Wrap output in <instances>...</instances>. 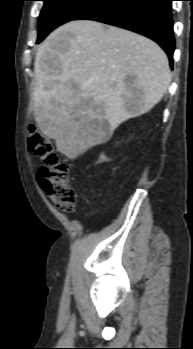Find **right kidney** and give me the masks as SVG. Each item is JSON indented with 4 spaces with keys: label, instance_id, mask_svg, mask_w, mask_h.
I'll return each instance as SVG.
<instances>
[{
    "label": "right kidney",
    "instance_id": "ca27d5eb",
    "mask_svg": "<svg viewBox=\"0 0 193 349\" xmlns=\"http://www.w3.org/2000/svg\"><path fill=\"white\" fill-rule=\"evenodd\" d=\"M101 159H102V160H105V156H104V155H102V156H101Z\"/></svg>",
    "mask_w": 193,
    "mask_h": 349
}]
</instances>
